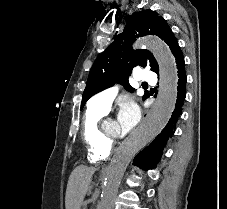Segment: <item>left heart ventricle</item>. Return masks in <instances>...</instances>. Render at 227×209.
Wrapping results in <instances>:
<instances>
[{
    "mask_svg": "<svg viewBox=\"0 0 227 209\" xmlns=\"http://www.w3.org/2000/svg\"><path fill=\"white\" fill-rule=\"evenodd\" d=\"M104 129L111 137H124L126 135L115 120H108L104 125Z\"/></svg>",
    "mask_w": 227,
    "mask_h": 209,
    "instance_id": "obj_1",
    "label": "left heart ventricle"
}]
</instances>
